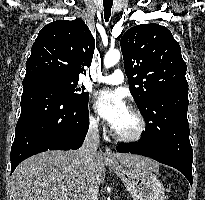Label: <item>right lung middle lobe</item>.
<instances>
[{
  "mask_svg": "<svg viewBox=\"0 0 205 200\" xmlns=\"http://www.w3.org/2000/svg\"><path fill=\"white\" fill-rule=\"evenodd\" d=\"M32 80H38L54 84L59 87L70 99L76 102L82 104L88 102L89 94L84 92V87H82V89L77 88L78 80L70 79L55 74L39 75L32 78ZM78 91H82V93H77Z\"/></svg>",
  "mask_w": 205,
  "mask_h": 200,
  "instance_id": "right-lung-middle-lobe-1",
  "label": "right lung middle lobe"
}]
</instances>
